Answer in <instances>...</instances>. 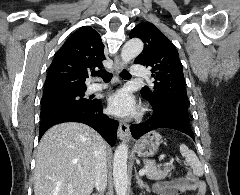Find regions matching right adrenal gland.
Here are the masks:
<instances>
[{
  "label": "right adrenal gland",
  "instance_id": "2a0ac1e0",
  "mask_svg": "<svg viewBox=\"0 0 240 195\" xmlns=\"http://www.w3.org/2000/svg\"><path fill=\"white\" fill-rule=\"evenodd\" d=\"M92 195H100V193H92Z\"/></svg>",
  "mask_w": 240,
  "mask_h": 195
}]
</instances>
